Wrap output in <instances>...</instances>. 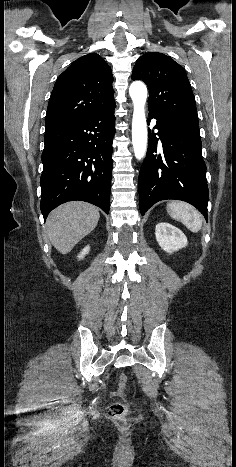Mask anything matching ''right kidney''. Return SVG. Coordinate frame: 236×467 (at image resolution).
Returning <instances> with one entry per match:
<instances>
[{
    "label": "right kidney",
    "mask_w": 236,
    "mask_h": 467,
    "mask_svg": "<svg viewBox=\"0 0 236 467\" xmlns=\"http://www.w3.org/2000/svg\"><path fill=\"white\" fill-rule=\"evenodd\" d=\"M89 250H90V247H89V246H86V247L80 252V254L78 255V258H79V259H83L84 256H85L86 254H88Z\"/></svg>",
    "instance_id": "ca27d5eb"
}]
</instances>
